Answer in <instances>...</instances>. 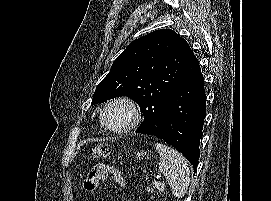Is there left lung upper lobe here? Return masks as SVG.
Listing matches in <instances>:
<instances>
[{"label": "left lung upper lobe", "instance_id": "obj_1", "mask_svg": "<svg viewBox=\"0 0 271 201\" xmlns=\"http://www.w3.org/2000/svg\"><path fill=\"white\" fill-rule=\"evenodd\" d=\"M186 45L170 29L156 30L134 40L96 87L91 105L128 96L144 115L140 126L158 130L163 109L180 79Z\"/></svg>", "mask_w": 271, "mask_h": 201}]
</instances>
